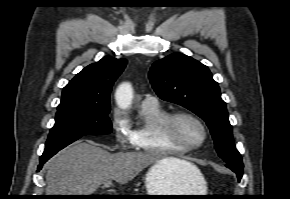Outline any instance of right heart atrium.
Wrapping results in <instances>:
<instances>
[{"mask_svg":"<svg viewBox=\"0 0 290 199\" xmlns=\"http://www.w3.org/2000/svg\"><path fill=\"white\" fill-rule=\"evenodd\" d=\"M111 125L117 145L126 149L132 146V135L130 125L124 115L115 110L111 117Z\"/></svg>","mask_w":290,"mask_h":199,"instance_id":"1","label":"right heart atrium"}]
</instances>
